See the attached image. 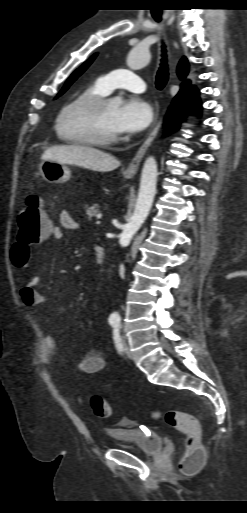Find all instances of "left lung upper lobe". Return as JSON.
Returning a JSON list of instances; mask_svg holds the SVG:
<instances>
[{
    "mask_svg": "<svg viewBox=\"0 0 247 513\" xmlns=\"http://www.w3.org/2000/svg\"><path fill=\"white\" fill-rule=\"evenodd\" d=\"M96 55L97 54H94L93 56H91L84 64H82L76 71H74V73L66 81L64 87L62 88L60 93L57 95V97L62 95L68 89V87L89 67V65L92 63V61L96 57Z\"/></svg>",
    "mask_w": 247,
    "mask_h": 513,
    "instance_id": "left-lung-upper-lobe-1",
    "label": "left lung upper lobe"
}]
</instances>
